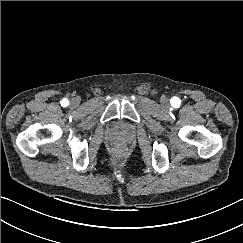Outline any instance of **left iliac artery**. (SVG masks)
I'll list each match as a JSON object with an SVG mask.
<instances>
[{
  "label": "left iliac artery",
  "mask_w": 243,
  "mask_h": 243,
  "mask_svg": "<svg viewBox=\"0 0 243 243\" xmlns=\"http://www.w3.org/2000/svg\"><path fill=\"white\" fill-rule=\"evenodd\" d=\"M171 104L175 107H178L180 105V100L177 97H173L171 100Z\"/></svg>",
  "instance_id": "left-iliac-artery-1"
}]
</instances>
